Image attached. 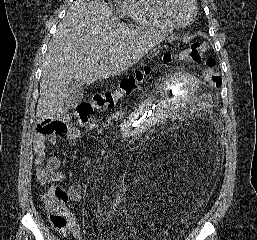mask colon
<instances>
[{"label": "colon", "mask_w": 257, "mask_h": 240, "mask_svg": "<svg viewBox=\"0 0 257 240\" xmlns=\"http://www.w3.org/2000/svg\"><path fill=\"white\" fill-rule=\"evenodd\" d=\"M208 49L206 42L194 43L190 48L179 53H166L162 57V63L166 66L176 61L200 62ZM205 67L203 77L212 88H219L222 78L214 70L215 60L208 57L204 61ZM152 74V69L146 66L141 71L124 78L121 81L120 89L116 92H109L98 95L90 103H83L77 107L76 115L80 124L87 123L95 110H106L111 108L121 97L134 94ZM65 124L53 119H44L37 126L38 133L44 135L58 134L64 131ZM68 199L67 192L57 184H50L44 193V201L49 209V221L59 231L69 229V219L64 204Z\"/></svg>", "instance_id": "1"}]
</instances>
